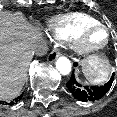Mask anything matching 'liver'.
I'll return each mask as SVG.
<instances>
[{
    "mask_svg": "<svg viewBox=\"0 0 117 117\" xmlns=\"http://www.w3.org/2000/svg\"><path fill=\"white\" fill-rule=\"evenodd\" d=\"M41 31L22 13L0 11V100L17 97L27 79L35 44Z\"/></svg>",
    "mask_w": 117,
    "mask_h": 117,
    "instance_id": "liver-1",
    "label": "liver"
}]
</instances>
